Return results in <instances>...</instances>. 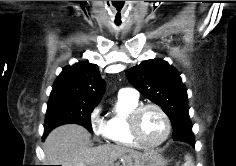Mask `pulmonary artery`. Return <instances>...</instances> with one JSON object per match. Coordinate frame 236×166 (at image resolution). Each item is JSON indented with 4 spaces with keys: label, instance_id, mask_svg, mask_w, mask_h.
<instances>
[{
    "label": "pulmonary artery",
    "instance_id": "obj_1",
    "mask_svg": "<svg viewBox=\"0 0 236 166\" xmlns=\"http://www.w3.org/2000/svg\"><path fill=\"white\" fill-rule=\"evenodd\" d=\"M118 96L138 98V91L134 88H122Z\"/></svg>",
    "mask_w": 236,
    "mask_h": 166
}]
</instances>
